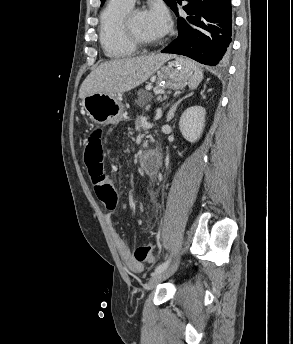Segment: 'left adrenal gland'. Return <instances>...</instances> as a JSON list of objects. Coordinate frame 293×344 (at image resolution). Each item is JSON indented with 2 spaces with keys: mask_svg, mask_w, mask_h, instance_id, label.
<instances>
[{
  "mask_svg": "<svg viewBox=\"0 0 293 344\" xmlns=\"http://www.w3.org/2000/svg\"><path fill=\"white\" fill-rule=\"evenodd\" d=\"M192 95H193V93H190V94L186 95L185 97L179 99V100L171 107V109H170V111H169V113H168V115H167V122H169V121L174 117V114H175V112H176L177 107L179 106V104H180L183 100L189 98V97L192 96Z\"/></svg>",
  "mask_w": 293,
  "mask_h": 344,
  "instance_id": "obj_1",
  "label": "left adrenal gland"
}]
</instances>
